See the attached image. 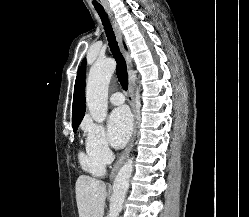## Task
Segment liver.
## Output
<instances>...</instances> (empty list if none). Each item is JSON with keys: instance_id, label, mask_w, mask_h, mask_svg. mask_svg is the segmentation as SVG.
Returning <instances> with one entry per match:
<instances>
[{"instance_id": "liver-1", "label": "liver", "mask_w": 249, "mask_h": 217, "mask_svg": "<svg viewBox=\"0 0 249 217\" xmlns=\"http://www.w3.org/2000/svg\"><path fill=\"white\" fill-rule=\"evenodd\" d=\"M79 217H103L106 185L96 178L81 175L75 185Z\"/></svg>"}]
</instances>
